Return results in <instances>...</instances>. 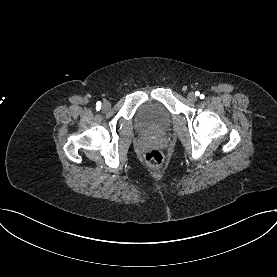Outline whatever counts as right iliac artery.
I'll use <instances>...</instances> for the list:
<instances>
[{
	"label": "right iliac artery",
	"instance_id": "82829eb1",
	"mask_svg": "<svg viewBox=\"0 0 277 277\" xmlns=\"http://www.w3.org/2000/svg\"><path fill=\"white\" fill-rule=\"evenodd\" d=\"M101 107V102H97V108L99 109Z\"/></svg>",
	"mask_w": 277,
	"mask_h": 277
}]
</instances>
